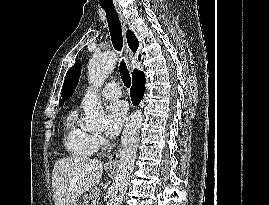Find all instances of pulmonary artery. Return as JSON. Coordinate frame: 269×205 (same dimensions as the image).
I'll list each match as a JSON object with an SVG mask.
<instances>
[{
	"label": "pulmonary artery",
	"instance_id": "pulmonary-artery-1",
	"mask_svg": "<svg viewBox=\"0 0 269 205\" xmlns=\"http://www.w3.org/2000/svg\"><path fill=\"white\" fill-rule=\"evenodd\" d=\"M101 95L107 99H118L121 97V91L117 83L110 82L103 87Z\"/></svg>",
	"mask_w": 269,
	"mask_h": 205
}]
</instances>
